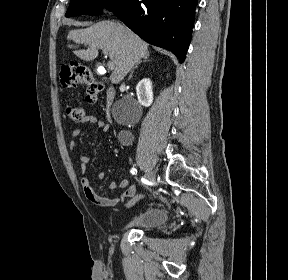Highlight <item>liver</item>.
<instances>
[{
  "label": "liver",
  "mask_w": 288,
  "mask_h": 280,
  "mask_svg": "<svg viewBox=\"0 0 288 280\" xmlns=\"http://www.w3.org/2000/svg\"><path fill=\"white\" fill-rule=\"evenodd\" d=\"M78 44L88 45L87 50L75 51L85 61L94 60L98 50L107 51L114 69L110 76L113 84L120 83L136 63L149 54L148 44L130 29L113 21H101L85 29L71 30L67 36Z\"/></svg>",
  "instance_id": "6515ba94"
}]
</instances>
